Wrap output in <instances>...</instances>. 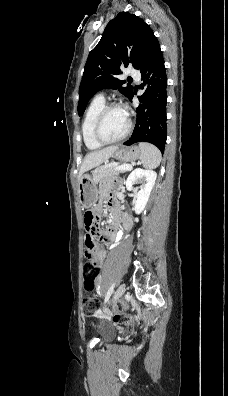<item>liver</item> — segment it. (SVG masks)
Segmentation results:
<instances>
[{"mask_svg": "<svg viewBox=\"0 0 228 396\" xmlns=\"http://www.w3.org/2000/svg\"><path fill=\"white\" fill-rule=\"evenodd\" d=\"M118 149V146H109L98 151L88 153L79 170L78 179L88 170L107 162L113 153Z\"/></svg>", "mask_w": 228, "mask_h": 396, "instance_id": "1", "label": "liver"}]
</instances>
